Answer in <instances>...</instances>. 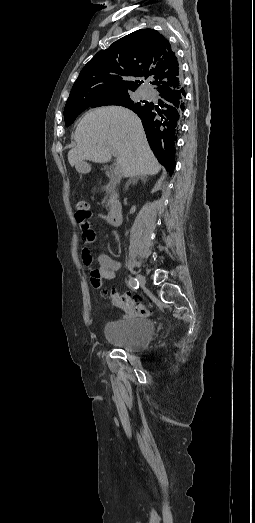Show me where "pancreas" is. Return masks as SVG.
I'll use <instances>...</instances> for the list:
<instances>
[{"mask_svg":"<svg viewBox=\"0 0 255 523\" xmlns=\"http://www.w3.org/2000/svg\"><path fill=\"white\" fill-rule=\"evenodd\" d=\"M117 182L118 178H116V176H111L109 184H107V186H104L106 194H110V200H108V198H104V202H106V208H111V202H113V200H116L115 188Z\"/></svg>","mask_w":255,"mask_h":523,"instance_id":"obj_1","label":"pancreas"}]
</instances>
